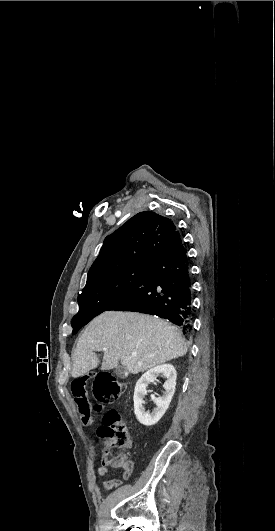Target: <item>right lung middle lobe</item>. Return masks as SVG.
<instances>
[{
	"label": "right lung middle lobe",
	"mask_w": 275,
	"mask_h": 531,
	"mask_svg": "<svg viewBox=\"0 0 275 531\" xmlns=\"http://www.w3.org/2000/svg\"><path fill=\"white\" fill-rule=\"evenodd\" d=\"M146 265L130 266L102 275L86 283L78 296L79 311L72 319L73 334L95 316L119 302L138 281Z\"/></svg>",
	"instance_id": "dd1d6c3e"
}]
</instances>
